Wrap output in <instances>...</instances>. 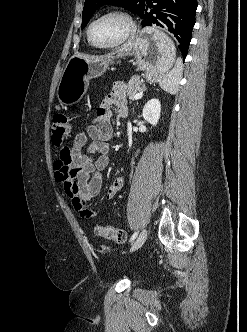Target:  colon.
I'll list each match as a JSON object with an SVG mask.
<instances>
[{
	"label": "colon",
	"instance_id": "5ec220e1",
	"mask_svg": "<svg viewBox=\"0 0 247 332\" xmlns=\"http://www.w3.org/2000/svg\"><path fill=\"white\" fill-rule=\"evenodd\" d=\"M72 131L71 119L65 114H57L52 123V143L56 147H62L63 144L69 139ZM67 148V147H63ZM95 233L115 243H123L126 238V232L122 229H116L110 226H97Z\"/></svg>",
	"mask_w": 247,
	"mask_h": 332
}]
</instances>
